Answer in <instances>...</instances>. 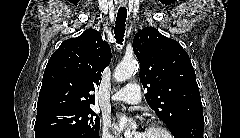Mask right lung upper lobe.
I'll list each match as a JSON object with an SVG mask.
<instances>
[{"label":"right lung upper lobe","instance_id":"obj_1","mask_svg":"<svg viewBox=\"0 0 240 138\" xmlns=\"http://www.w3.org/2000/svg\"><path fill=\"white\" fill-rule=\"evenodd\" d=\"M111 61V49L94 29L65 40L50 57L44 71L37 115L57 109L90 108L91 94L100 85Z\"/></svg>","mask_w":240,"mask_h":138}]
</instances>
